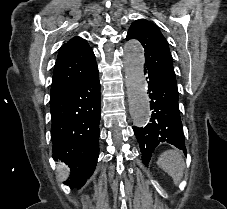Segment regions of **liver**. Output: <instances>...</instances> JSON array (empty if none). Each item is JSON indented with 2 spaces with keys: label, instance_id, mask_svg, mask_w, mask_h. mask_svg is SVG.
I'll use <instances>...</instances> for the list:
<instances>
[{
  "label": "liver",
  "instance_id": "6515ba94",
  "mask_svg": "<svg viewBox=\"0 0 227 209\" xmlns=\"http://www.w3.org/2000/svg\"><path fill=\"white\" fill-rule=\"evenodd\" d=\"M59 171H62V169H60V167H58Z\"/></svg>",
  "mask_w": 227,
  "mask_h": 209
}]
</instances>
